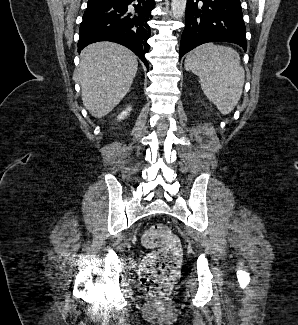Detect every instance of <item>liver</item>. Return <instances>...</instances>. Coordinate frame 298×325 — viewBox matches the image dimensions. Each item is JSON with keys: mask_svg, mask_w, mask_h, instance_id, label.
<instances>
[{"mask_svg": "<svg viewBox=\"0 0 298 325\" xmlns=\"http://www.w3.org/2000/svg\"><path fill=\"white\" fill-rule=\"evenodd\" d=\"M78 78L82 102L92 116L102 118L127 94L138 60L116 42H93L80 52Z\"/></svg>", "mask_w": 298, "mask_h": 325, "instance_id": "1", "label": "liver"}]
</instances>
